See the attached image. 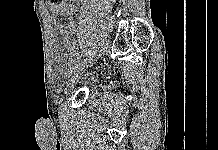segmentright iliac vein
<instances>
[{
  "label": "right iliac vein",
  "instance_id": "1",
  "mask_svg": "<svg viewBox=\"0 0 218 150\" xmlns=\"http://www.w3.org/2000/svg\"><path fill=\"white\" fill-rule=\"evenodd\" d=\"M85 55L88 57L90 54L87 52ZM80 58L81 57H79L76 62H78V61L80 62L79 63L80 67L85 66L87 64V59L80 60ZM80 67L78 69H76V71H78L80 69Z\"/></svg>",
  "mask_w": 218,
  "mask_h": 150
}]
</instances>
